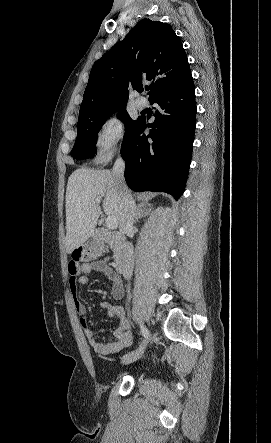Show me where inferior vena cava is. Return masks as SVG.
<instances>
[{
    "label": "inferior vena cava",
    "instance_id": "1",
    "mask_svg": "<svg viewBox=\"0 0 271 443\" xmlns=\"http://www.w3.org/2000/svg\"><path fill=\"white\" fill-rule=\"evenodd\" d=\"M125 164L122 158H117L111 172L114 186L123 202V216L120 220V231H134L133 222L135 218V204L124 180ZM116 269L118 273H123L124 277H131L134 269V249L132 243H127L117 255Z\"/></svg>",
    "mask_w": 271,
    "mask_h": 443
}]
</instances>
